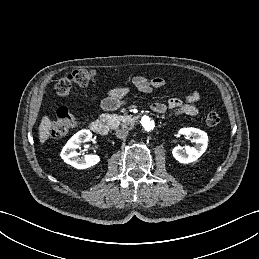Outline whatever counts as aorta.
Listing matches in <instances>:
<instances>
[{"instance_id": "obj_1", "label": "aorta", "mask_w": 259, "mask_h": 259, "mask_svg": "<svg viewBox=\"0 0 259 259\" xmlns=\"http://www.w3.org/2000/svg\"><path fill=\"white\" fill-rule=\"evenodd\" d=\"M140 126L148 132L154 129L155 123L151 117L143 116L140 122Z\"/></svg>"}]
</instances>
